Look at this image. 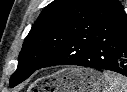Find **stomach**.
<instances>
[{
    "instance_id": "0dacf381",
    "label": "stomach",
    "mask_w": 127,
    "mask_h": 92,
    "mask_svg": "<svg viewBox=\"0 0 127 92\" xmlns=\"http://www.w3.org/2000/svg\"><path fill=\"white\" fill-rule=\"evenodd\" d=\"M53 92H103L108 84L94 69L66 67L49 77Z\"/></svg>"
}]
</instances>
